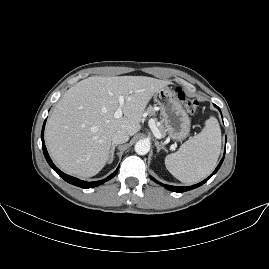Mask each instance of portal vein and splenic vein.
<instances>
[{
  "label": "portal vein and splenic vein",
  "mask_w": 269,
  "mask_h": 269,
  "mask_svg": "<svg viewBox=\"0 0 269 269\" xmlns=\"http://www.w3.org/2000/svg\"><path fill=\"white\" fill-rule=\"evenodd\" d=\"M119 105H120L119 108L114 113L115 118H121L123 115V113H122V106L124 105V97L123 96L119 97ZM147 125H148V127H150L152 129V132L157 139L162 138V134L160 133L159 129L155 126L156 122H155V119L153 117H150L148 119Z\"/></svg>",
  "instance_id": "1"
}]
</instances>
